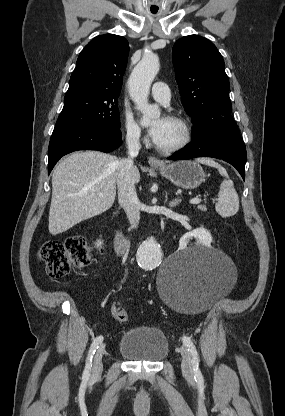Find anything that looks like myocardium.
Returning <instances> with one entry per match:
<instances>
[{"label": "myocardium", "mask_w": 285, "mask_h": 416, "mask_svg": "<svg viewBox=\"0 0 285 416\" xmlns=\"http://www.w3.org/2000/svg\"><path fill=\"white\" fill-rule=\"evenodd\" d=\"M167 119L180 128L182 133L181 139L171 147L164 148L157 145V150L163 154H175L184 150L189 145L191 141V128L188 122L179 116L170 115Z\"/></svg>", "instance_id": "f54148a6"}]
</instances>
